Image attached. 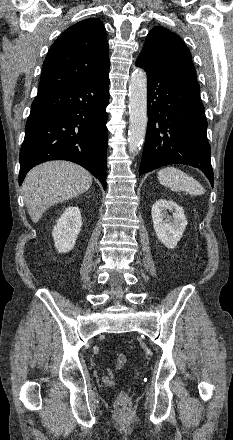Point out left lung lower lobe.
<instances>
[{
  "label": "left lung lower lobe",
  "instance_id": "0a47b994",
  "mask_svg": "<svg viewBox=\"0 0 233 440\" xmlns=\"http://www.w3.org/2000/svg\"><path fill=\"white\" fill-rule=\"evenodd\" d=\"M147 73L148 126L139 175L169 164L199 168L214 184L200 86L190 77L160 72L141 58Z\"/></svg>",
  "mask_w": 233,
  "mask_h": 440
}]
</instances>
